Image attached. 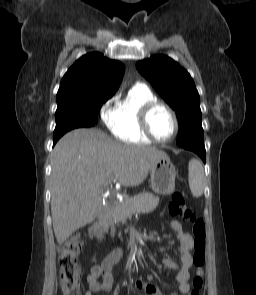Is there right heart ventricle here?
<instances>
[{
  "instance_id": "e07e8e85",
  "label": "right heart ventricle",
  "mask_w": 256,
  "mask_h": 295,
  "mask_svg": "<svg viewBox=\"0 0 256 295\" xmlns=\"http://www.w3.org/2000/svg\"><path fill=\"white\" fill-rule=\"evenodd\" d=\"M155 100V94L148 87L133 86L108 113L106 124L113 136L128 144H151L153 141L141 129L140 112L147 103Z\"/></svg>"
}]
</instances>
